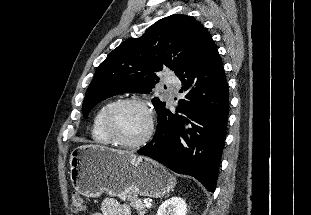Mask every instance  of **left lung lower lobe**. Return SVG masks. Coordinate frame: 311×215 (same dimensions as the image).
Instances as JSON below:
<instances>
[{
    "instance_id": "1",
    "label": "left lung lower lobe",
    "mask_w": 311,
    "mask_h": 215,
    "mask_svg": "<svg viewBox=\"0 0 311 215\" xmlns=\"http://www.w3.org/2000/svg\"><path fill=\"white\" fill-rule=\"evenodd\" d=\"M186 95L176 114L165 105L151 142L138 150L179 174L199 180L209 192L216 188L229 113L223 63L212 37H204L175 71Z\"/></svg>"
}]
</instances>
